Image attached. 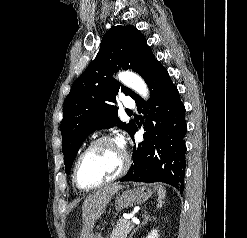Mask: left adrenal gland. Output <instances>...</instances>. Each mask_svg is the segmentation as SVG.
I'll use <instances>...</instances> for the list:
<instances>
[{"mask_svg": "<svg viewBox=\"0 0 247 238\" xmlns=\"http://www.w3.org/2000/svg\"><path fill=\"white\" fill-rule=\"evenodd\" d=\"M142 216H143L144 220L142 221V223H141L139 226H137V227L133 230V232L131 233V235H130L129 238H132L133 235L136 233V231H137L139 228H141L143 225H146L147 222L153 218V217H150V215H148L147 212H145Z\"/></svg>", "mask_w": 247, "mask_h": 238, "instance_id": "left-adrenal-gland-1", "label": "left adrenal gland"}]
</instances>
